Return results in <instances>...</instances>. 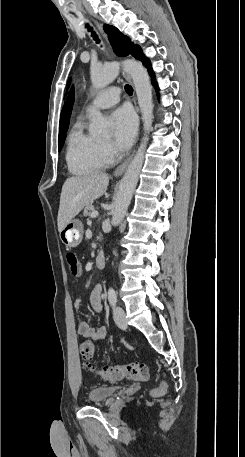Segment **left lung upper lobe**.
<instances>
[{
	"instance_id": "obj_1",
	"label": "left lung upper lobe",
	"mask_w": 245,
	"mask_h": 457,
	"mask_svg": "<svg viewBox=\"0 0 245 457\" xmlns=\"http://www.w3.org/2000/svg\"><path fill=\"white\" fill-rule=\"evenodd\" d=\"M105 32L109 35V40L115 53L119 56H127L131 54L136 59L145 57L141 48L138 45L131 43L130 39L123 35L117 28L104 25Z\"/></svg>"
}]
</instances>
